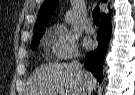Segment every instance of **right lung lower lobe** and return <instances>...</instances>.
I'll use <instances>...</instances> for the list:
<instances>
[{"instance_id":"98d812e1","label":"right lung lower lobe","mask_w":135,"mask_h":95,"mask_svg":"<svg viewBox=\"0 0 135 95\" xmlns=\"http://www.w3.org/2000/svg\"><path fill=\"white\" fill-rule=\"evenodd\" d=\"M111 36V22L109 16L101 17V24L98 30L97 40L99 42L96 50L89 52L85 59V68L91 71L94 76L102 81L103 59Z\"/></svg>"}]
</instances>
